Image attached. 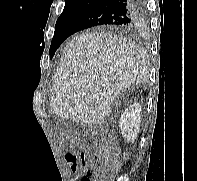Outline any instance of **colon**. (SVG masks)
<instances>
[{
	"instance_id": "obj_1",
	"label": "colon",
	"mask_w": 197,
	"mask_h": 181,
	"mask_svg": "<svg viewBox=\"0 0 197 181\" xmlns=\"http://www.w3.org/2000/svg\"><path fill=\"white\" fill-rule=\"evenodd\" d=\"M83 163L89 168L80 181H108L118 169V158L113 148L99 150L93 156L83 151Z\"/></svg>"
}]
</instances>
